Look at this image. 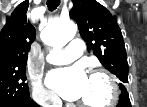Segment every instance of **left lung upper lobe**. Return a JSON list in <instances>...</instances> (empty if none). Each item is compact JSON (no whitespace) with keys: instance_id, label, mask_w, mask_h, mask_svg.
<instances>
[{"instance_id":"1","label":"left lung upper lobe","mask_w":147,"mask_h":107,"mask_svg":"<svg viewBox=\"0 0 147 107\" xmlns=\"http://www.w3.org/2000/svg\"><path fill=\"white\" fill-rule=\"evenodd\" d=\"M70 17L75 19L88 51L119 79L120 90H127L128 62L121 29L116 18L96 0H72Z\"/></svg>"}]
</instances>
